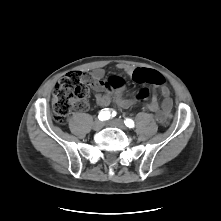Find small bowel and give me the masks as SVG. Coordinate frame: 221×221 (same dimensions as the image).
Wrapping results in <instances>:
<instances>
[{
	"label": "small bowel",
	"instance_id": "1",
	"mask_svg": "<svg viewBox=\"0 0 221 221\" xmlns=\"http://www.w3.org/2000/svg\"><path fill=\"white\" fill-rule=\"evenodd\" d=\"M119 69L123 70L129 75H133L134 71L142 68H133L128 65L120 64ZM104 71L102 69H95L89 75L88 80L96 90H110L115 89V94H96V102L99 106L105 107L114 101L119 107L127 108L131 106L135 100L126 97L123 94L124 81L120 77H111L109 80H104ZM138 83H146L144 80L136 81ZM159 93L162 97L161 103H159L156 96L146 103V109L154 113L157 122H166L171 118V109L173 105L172 98L170 97L169 89L166 86L159 87Z\"/></svg>",
	"mask_w": 221,
	"mask_h": 221
}]
</instances>
